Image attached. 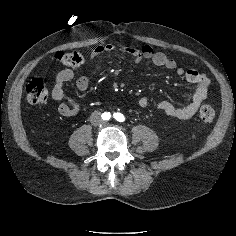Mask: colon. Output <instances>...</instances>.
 Returning <instances> with one entry per match:
<instances>
[{
	"mask_svg": "<svg viewBox=\"0 0 236 236\" xmlns=\"http://www.w3.org/2000/svg\"><path fill=\"white\" fill-rule=\"evenodd\" d=\"M55 58L61 64L69 68H79L85 64L84 57L78 52H58ZM27 100L32 104H41L47 99V88L41 78H33L26 85ZM199 116L205 123H211L215 118V111L209 105H203L199 110Z\"/></svg>",
	"mask_w": 236,
	"mask_h": 236,
	"instance_id": "5ec220e1",
	"label": "colon"
}]
</instances>
